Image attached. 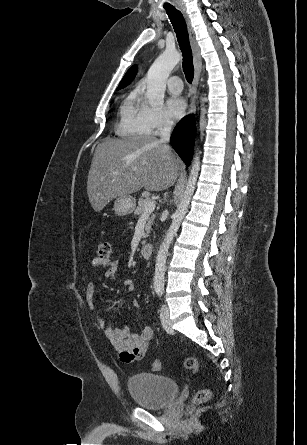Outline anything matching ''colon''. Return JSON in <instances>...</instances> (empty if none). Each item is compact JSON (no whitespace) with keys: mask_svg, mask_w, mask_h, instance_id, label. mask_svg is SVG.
Masks as SVG:
<instances>
[{"mask_svg":"<svg viewBox=\"0 0 307 445\" xmlns=\"http://www.w3.org/2000/svg\"><path fill=\"white\" fill-rule=\"evenodd\" d=\"M112 247L108 242H102L97 245V256L100 259H108L111 256ZM184 366L187 370L196 372L199 368L198 361L189 357L184 361ZM152 368L155 371H159L162 368V363L159 360H155L152 364ZM210 398V391L208 389H201L195 393L194 402L196 404H202L208 401Z\"/></svg>","mask_w":307,"mask_h":445,"instance_id":"1","label":"colon"}]
</instances>
